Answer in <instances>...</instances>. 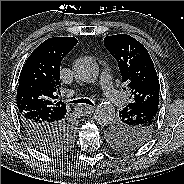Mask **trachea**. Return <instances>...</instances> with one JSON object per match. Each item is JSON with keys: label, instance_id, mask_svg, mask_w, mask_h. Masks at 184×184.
<instances>
[{"label": "trachea", "instance_id": "obj_1", "mask_svg": "<svg viewBox=\"0 0 184 184\" xmlns=\"http://www.w3.org/2000/svg\"><path fill=\"white\" fill-rule=\"evenodd\" d=\"M70 103H74V104L86 103V104H89V105L93 106L92 101H90L89 99H86V98H80V99H77V100H73Z\"/></svg>", "mask_w": 184, "mask_h": 184}]
</instances>
